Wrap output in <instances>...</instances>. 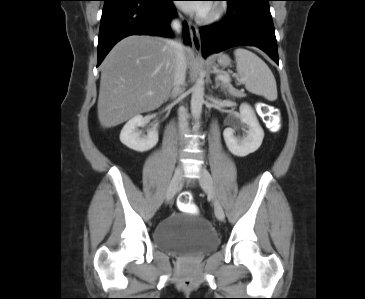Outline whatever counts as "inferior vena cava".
Returning a JSON list of instances; mask_svg holds the SVG:
<instances>
[{"label": "inferior vena cava", "instance_id": "obj_1", "mask_svg": "<svg viewBox=\"0 0 365 299\" xmlns=\"http://www.w3.org/2000/svg\"><path fill=\"white\" fill-rule=\"evenodd\" d=\"M172 28L176 32L181 31V24L178 20L172 22ZM171 44L175 48L176 58H175V73L173 82L172 96L176 97L182 90L181 86L185 83L186 77V62L184 57V47L180 41H171ZM179 131L180 134H184L187 131V112L184 108L179 109Z\"/></svg>", "mask_w": 365, "mask_h": 299}]
</instances>
